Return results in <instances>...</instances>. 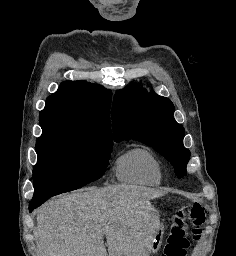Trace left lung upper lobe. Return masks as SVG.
Returning <instances> with one entry per match:
<instances>
[{
  "mask_svg": "<svg viewBox=\"0 0 236 256\" xmlns=\"http://www.w3.org/2000/svg\"><path fill=\"white\" fill-rule=\"evenodd\" d=\"M173 113L174 105L168 98L132 84L114 96V138L116 142L135 139L150 145L170 161L176 176L182 178L190 151L183 145L184 128L175 121Z\"/></svg>",
  "mask_w": 236,
  "mask_h": 256,
  "instance_id": "obj_1",
  "label": "left lung upper lobe"
}]
</instances>
